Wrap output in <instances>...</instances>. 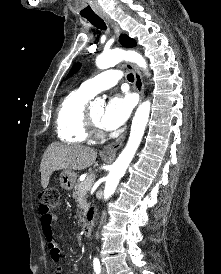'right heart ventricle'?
<instances>
[{
	"mask_svg": "<svg viewBox=\"0 0 221 274\" xmlns=\"http://www.w3.org/2000/svg\"><path fill=\"white\" fill-rule=\"evenodd\" d=\"M92 98L81 88L68 93L60 102L56 112V133L60 140L70 144H81L88 140L87 103Z\"/></svg>",
	"mask_w": 221,
	"mask_h": 274,
	"instance_id": "1",
	"label": "right heart ventricle"
}]
</instances>
